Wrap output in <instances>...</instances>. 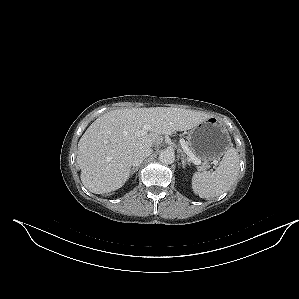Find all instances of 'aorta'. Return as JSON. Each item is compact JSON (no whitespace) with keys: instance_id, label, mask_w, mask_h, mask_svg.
I'll return each mask as SVG.
<instances>
[{"instance_id":"1","label":"aorta","mask_w":299,"mask_h":299,"mask_svg":"<svg viewBox=\"0 0 299 299\" xmlns=\"http://www.w3.org/2000/svg\"><path fill=\"white\" fill-rule=\"evenodd\" d=\"M159 160L163 164H172L175 161V154L171 150H164L159 154Z\"/></svg>"}]
</instances>
